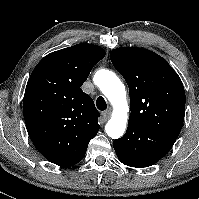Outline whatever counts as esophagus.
I'll list each match as a JSON object with an SVG mask.
<instances>
[{
  "instance_id": "esophagus-1",
  "label": "esophagus",
  "mask_w": 199,
  "mask_h": 199,
  "mask_svg": "<svg viewBox=\"0 0 199 199\" xmlns=\"http://www.w3.org/2000/svg\"><path fill=\"white\" fill-rule=\"evenodd\" d=\"M102 115H103L104 120L106 121V120H108L110 118L111 111L110 110L105 111Z\"/></svg>"
}]
</instances>
